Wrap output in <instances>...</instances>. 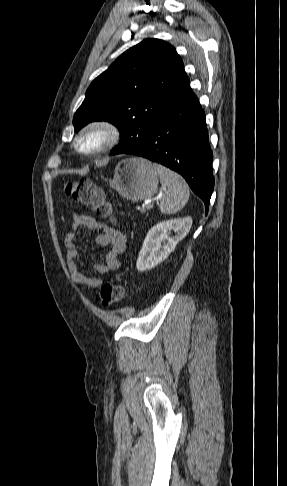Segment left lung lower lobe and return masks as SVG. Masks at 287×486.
Returning a JSON list of instances; mask_svg holds the SVG:
<instances>
[{
    "label": "left lung lower lobe",
    "mask_w": 287,
    "mask_h": 486,
    "mask_svg": "<svg viewBox=\"0 0 287 486\" xmlns=\"http://www.w3.org/2000/svg\"><path fill=\"white\" fill-rule=\"evenodd\" d=\"M124 153L147 158L181 174L208 210L214 188L213 156L205 113L190 84L153 125L145 141Z\"/></svg>",
    "instance_id": "obj_1"
}]
</instances>
